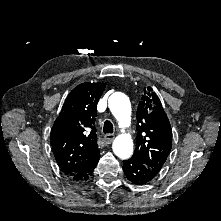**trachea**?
<instances>
[{
    "mask_svg": "<svg viewBox=\"0 0 221 221\" xmlns=\"http://www.w3.org/2000/svg\"><path fill=\"white\" fill-rule=\"evenodd\" d=\"M113 124L110 121H105L103 126V132L106 134H112L113 133Z\"/></svg>",
    "mask_w": 221,
    "mask_h": 221,
    "instance_id": "3493384b",
    "label": "trachea"
}]
</instances>
